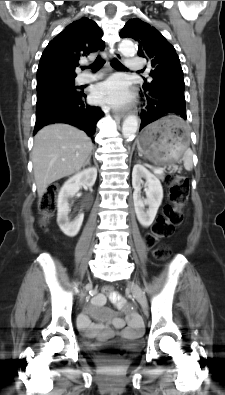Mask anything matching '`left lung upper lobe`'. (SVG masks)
<instances>
[{"mask_svg":"<svg viewBox=\"0 0 225 395\" xmlns=\"http://www.w3.org/2000/svg\"><path fill=\"white\" fill-rule=\"evenodd\" d=\"M122 38H133L139 43L138 55L151 62L153 80L143 84L145 92L181 90L185 83L179 57L165 37L148 23L134 18L120 32Z\"/></svg>","mask_w":225,"mask_h":395,"instance_id":"5c2ea615","label":"left lung upper lobe"}]
</instances>
